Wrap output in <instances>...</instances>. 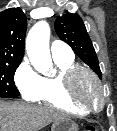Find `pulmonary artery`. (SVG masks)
I'll return each instance as SVG.
<instances>
[{
  "label": "pulmonary artery",
  "instance_id": "obj_1",
  "mask_svg": "<svg viewBox=\"0 0 117 131\" xmlns=\"http://www.w3.org/2000/svg\"><path fill=\"white\" fill-rule=\"evenodd\" d=\"M52 58L55 59H68L73 58L71 48L62 41L55 40L51 44Z\"/></svg>",
  "mask_w": 117,
  "mask_h": 131
}]
</instances>
